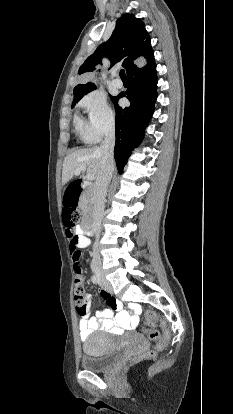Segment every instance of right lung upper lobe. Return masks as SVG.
<instances>
[{
    "instance_id": "right-lung-upper-lobe-1",
    "label": "right lung upper lobe",
    "mask_w": 233,
    "mask_h": 414,
    "mask_svg": "<svg viewBox=\"0 0 233 414\" xmlns=\"http://www.w3.org/2000/svg\"><path fill=\"white\" fill-rule=\"evenodd\" d=\"M106 56L111 66L122 62L128 77L142 74L152 69L155 64L151 40L144 23L132 14L121 16L110 39L101 44L79 68V74H86L96 70ZM95 88L94 84H78L74 88V100L77 101Z\"/></svg>"
}]
</instances>
